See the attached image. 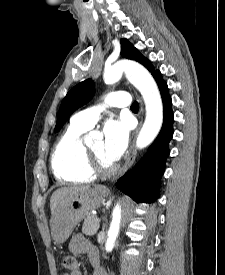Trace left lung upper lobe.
Listing matches in <instances>:
<instances>
[{
  "label": "left lung upper lobe",
  "instance_id": "5c2ea615",
  "mask_svg": "<svg viewBox=\"0 0 225 275\" xmlns=\"http://www.w3.org/2000/svg\"><path fill=\"white\" fill-rule=\"evenodd\" d=\"M121 55L127 59H132L143 64L152 75L155 74L157 70H154L153 66L150 64L149 60L143 57L140 52L126 39L121 41ZM94 92V83L91 79L85 80L77 84L72 88L65 98L63 99L58 120L55 127V132H58L64 123L67 121L69 116L79 107L86 104L92 97Z\"/></svg>",
  "mask_w": 225,
  "mask_h": 275
}]
</instances>
